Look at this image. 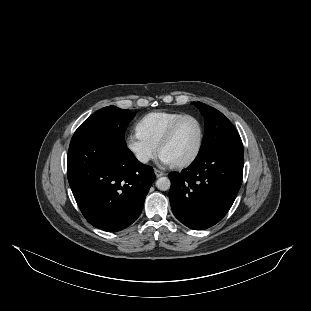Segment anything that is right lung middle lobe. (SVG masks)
Returning <instances> with one entry per match:
<instances>
[{"mask_svg":"<svg viewBox=\"0 0 311 311\" xmlns=\"http://www.w3.org/2000/svg\"><path fill=\"white\" fill-rule=\"evenodd\" d=\"M134 116V112L115 106L102 108L88 117L78 127L70 144L93 136L106 137L125 143V130Z\"/></svg>","mask_w":311,"mask_h":311,"instance_id":"right-lung-middle-lobe-1","label":"right lung middle lobe"}]
</instances>
